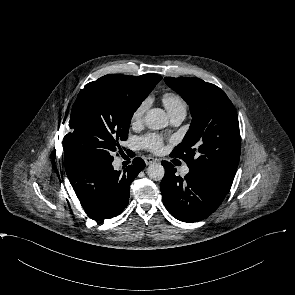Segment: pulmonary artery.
Listing matches in <instances>:
<instances>
[{
  "label": "pulmonary artery",
  "instance_id": "pulmonary-artery-1",
  "mask_svg": "<svg viewBox=\"0 0 295 295\" xmlns=\"http://www.w3.org/2000/svg\"><path fill=\"white\" fill-rule=\"evenodd\" d=\"M185 114H177V115H174V116H171V122L173 125H179L185 118ZM181 173L183 175H187L189 173V168L187 166H184L182 169H181Z\"/></svg>",
  "mask_w": 295,
  "mask_h": 295
}]
</instances>
